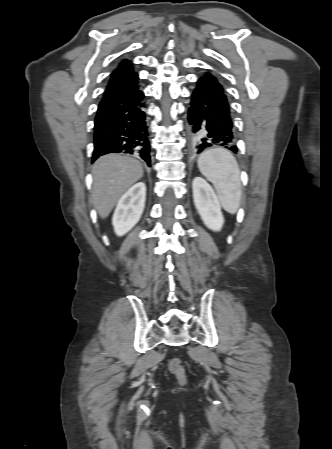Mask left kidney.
<instances>
[{"label":"left kidney","instance_id":"1","mask_svg":"<svg viewBox=\"0 0 332 449\" xmlns=\"http://www.w3.org/2000/svg\"><path fill=\"white\" fill-rule=\"evenodd\" d=\"M195 207L206 227L220 231L224 224L221 205L213 188L201 177H195L192 182Z\"/></svg>","mask_w":332,"mask_h":449}]
</instances>
